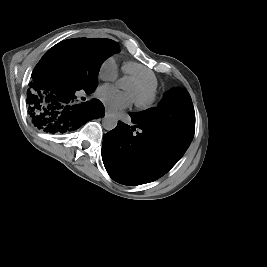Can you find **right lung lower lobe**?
Wrapping results in <instances>:
<instances>
[{
  "label": "right lung lower lobe",
  "instance_id": "1",
  "mask_svg": "<svg viewBox=\"0 0 267 267\" xmlns=\"http://www.w3.org/2000/svg\"><path fill=\"white\" fill-rule=\"evenodd\" d=\"M76 91L68 80L56 72L43 66L34 71L27 96L34 126L52 134L64 133L104 116V106L97 99L76 103ZM85 92L90 94L93 91Z\"/></svg>",
  "mask_w": 267,
  "mask_h": 267
}]
</instances>
